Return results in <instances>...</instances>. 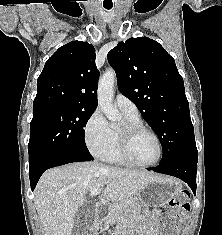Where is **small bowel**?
Segmentation results:
<instances>
[{"label":"small bowel","mask_w":222,"mask_h":235,"mask_svg":"<svg viewBox=\"0 0 222 235\" xmlns=\"http://www.w3.org/2000/svg\"><path fill=\"white\" fill-rule=\"evenodd\" d=\"M158 220H159V211L155 210L152 212L151 217L146 223L144 233L141 235H158ZM124 231V228H123ZM116 235H124V232H118Z\"/></svg>","instance_id":"c3829d8e"}]
</instances>
